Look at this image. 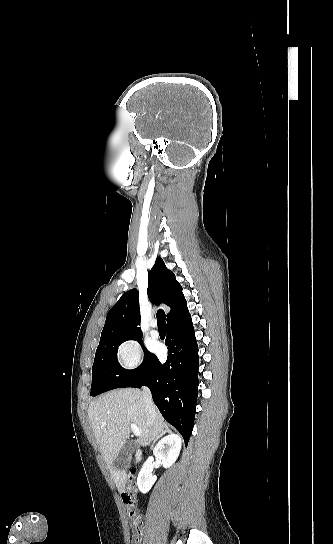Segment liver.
<instances>
[{"label":"liver","instance_id":"liver-1","mask_svg":"<svg viewBox=\"0 0 333 544\" xmlns=\"http://www.w3.org/2000/svg\"><path fill=\"white\" fill-rule=\"evenodd\" d=\"M88 416L116 487L123 492L129 474L125 469L116 468L113 463L129 437L130 424H136L141 429L137 443L146 446L166 433L163 417L156 409L155 421L149 424L142 392L132 388L116 389L100 396L90 403Z\"/></svg>","mask_w":333,"mask_h":544}]
</instances>
